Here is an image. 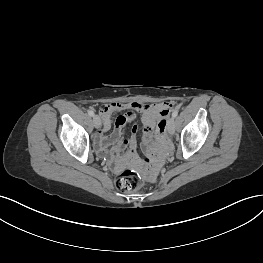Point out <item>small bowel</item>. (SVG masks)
Masks as SVG:
<instances>
[{"label": "small bowel", "mask_w": 263, "mask_h": 263, "mask_svg": "<svg viewBox=\"0 0 263 263\" xmlns=\"http://www.w3.org/2000/svg\"><path fill=\"white\" fill-rule=\"evenodd\" d=\"M140 104L141 102H137ZM165 106L162 112L144 111L140 114L142 117L143 131L141 137L142 148L147 156L141 160L137 154V132L138 126L133 125L132 133L128 138L123 137V129L128 124L133 123L136 114L126 113L117 117L114 123L113 130L106 135L112 128L111 114H100L103 120L102 129L99 131L95 145L98 152L109 158L115 165L133 164L138 165L137 170L140 173H146L145 180L151 183L154 177L158 174L161 167L164 147L161 145L165 132L167 131L166 125L171 120V116L179 108V105L170 100L168 103L160 102ZM105 103L103 105H109ZM123 104V103H116ZM129 104V103H127ZM154 105L156 103H153ZM115 112V111H114Z\"/></svg>", "instance_id": "obj_1"}]
</instances>
